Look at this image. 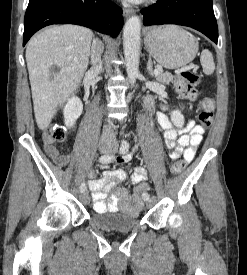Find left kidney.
I'll return each mask as SVG.
<instances>
[{
  "mask_svg": "<svg viewBox=\"0 0 247 275\" xmlns=\"http://www.w3.org/2000/svg\"><path fill=\"white\" fill-rule=\"evenodd\" d=\"M171 121L177 128H182L184 125V116L179 110H173L170 114Z\"/></svg>",
  "mask_w": 247,
  "mask_h": 275,
  "instance_id": "left-kidney-1",
  "label": "left kidney"
}]
</instances>
